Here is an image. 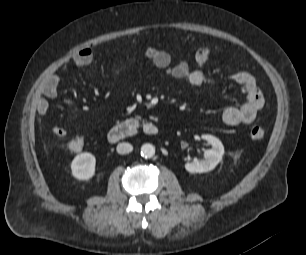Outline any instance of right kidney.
<instances>
[{
	"label": "right kidney",
	"mask_w": 306,
	"mask_h": 255,
	"mask_svg": "<svg viewBox=\"0 0 306 255\" xmlns=\"http://www.w3.org/2000/svg\"><path fill=\"white\" fill-rule=\"evenodd\" d=\"M96 159L91 153L78 154L71 162L72 175L79 180H89L95 174Z\"/></svg>",
	"instance_id": "obj_1"
}]
</instances>
